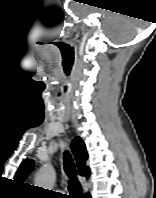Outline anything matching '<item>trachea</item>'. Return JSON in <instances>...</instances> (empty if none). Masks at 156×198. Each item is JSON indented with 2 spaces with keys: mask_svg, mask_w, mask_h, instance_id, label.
I'll return each mask as SVG.
<instances>
[{
  "mask_svg": "<svg viewBox=\"0 0 156 198\" xmlns=\"http://www.w3.org/2000/svg\"><path fill=\"white\" fill-rule=\"evenodd\" d=\"M64 170L70 178L68 189L71 193V196L68 198H81L82 189L77 179H75V165L68 152L64 153Z\"/></svg>",
  "mask_w": 156,
  "mask_h": 198,
  "instance_id": "3493384b",
  "label": "trachea"
}]
</instances>
